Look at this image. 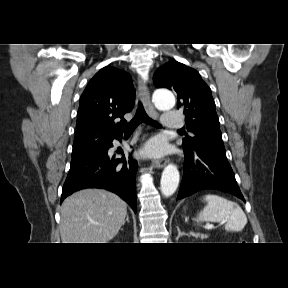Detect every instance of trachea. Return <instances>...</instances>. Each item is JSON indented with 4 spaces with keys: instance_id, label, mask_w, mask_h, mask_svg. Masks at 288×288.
Returning a JSON list of instances; mask_svg holds the SVG:
<instances>
[{
    "instance_id": "3493384b",
    "label": "trachea",
    "mask_w": 288,
    "mask_h": 288,
    "mask_svg": "<svg viewBox=\"0 0 288 288\" xmlns=\"http://www.w3.org/2000/svg\"><path fill=\"white\" fill-rule=\"evenodd\" d=\"M142 122H144L148 125L157 127V128H161V124H159L157 121L150 118L146 114V112L144 111L142 104L139 103V106H138V109H137L135 116L133 117V119L128 124H126L122 127L123 131L124 132L133 131Z\"/></svg>"
}]
</instances>
